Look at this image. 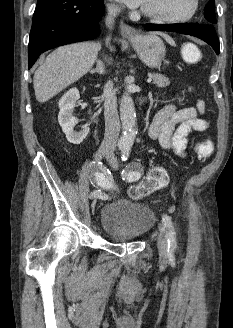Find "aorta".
<instances>
[{"label":"aorta","mask_w":233,"mask_h":328,"mask_svg":"<svg viewBox=\"0 0 233 328\" xmlns=\"http://www.w3.org/2000/svg\"><path fill=\"white\" fill-rule=\"evenodd\" d=\"M120 117L123 134L119 142L121 149L129 150L137 134V121L134 102L129 93H124L120 102Z\"/></svg>","instance_id":"aorta-1"}]
</instances>
